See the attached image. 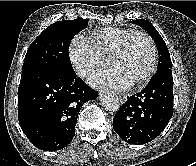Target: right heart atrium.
I'll list each match as a JSON object with an SVG mask.
<instances>
[{"instance_id": "obj_1", "label": "right heart atrium", "mask_w": 196, "mask_h": 166, "mask_svg": "<svg viewBox=\"0 0 196 166\" xmlns=\"http://www.w3.org/2000/svg\"><path fill=\"white\" fill-rule=\"evenodd\" d=\"M69 59L81 77H88L109 64V60L95 48L91 41L81 36L72 39Z\"/></svg>"}]
</instances>
